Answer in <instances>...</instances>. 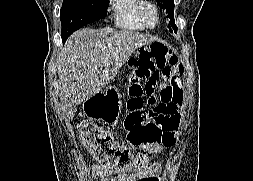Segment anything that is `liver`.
Segmentation results:
<instances>
[{
	"mask_svg": "<svg viewBox=\"0 0 253 181\" xmlns=\"http://www.w3.org/2000/svg\"><path fill=\"white\" fill-rule=\"evenodd\" d=\"M153 41L131 30L83 28L73 33L56 61L64 116L72 119L77 106L108 85L136 49Z\"/></svg>",
	"mask_w": 253,
	"mask_h": 181,
	"instance_id": "liver-1",
	"label": "liver"
}]
</instances>
